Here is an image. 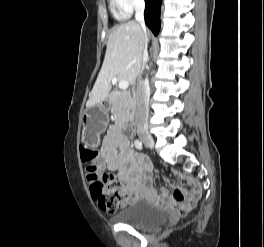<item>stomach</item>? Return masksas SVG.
I'll return each mask as SVG.
<instances>
[{"label": "stomach", "mask_w": 264, "mask_h": 247, "mask_svg": "<svg viewBox=\"0 0 264 247\" xmlns=\"http://www.w3.org/2000/svg\"><path fill=\"white\" fill-rule=\"evenodd\" d=\"M108 110L102 104L90 108L83 117V131L81 139L83 142L96 145L99 143L100 130L107 125Z\"/></svg>", "instance_id": "1"}]
</instances>
